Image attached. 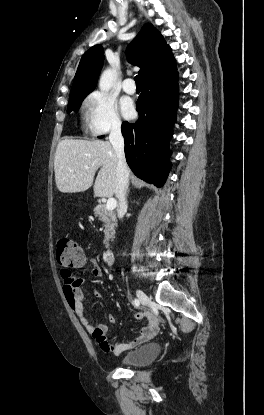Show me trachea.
<instances>
[{
  "instance_id": "3493384b",
  "label": "trachea",
  "mask_w": 264,
  "mask_h": 415,
  "mask_svg": "<svg viewBox=\"0 0 264 415\" xmlns=\"http://www.w3.org/2000/svg\"><path fill=\"white\" fill-rule=\"evenodd\" d=\"M134 80H135L136 86L141 87L140 75L135 76Z\"/></svg>"
}]
</instances>
